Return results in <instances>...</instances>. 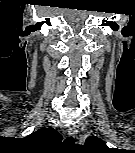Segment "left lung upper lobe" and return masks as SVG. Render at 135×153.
Returning a JSON list of instances; mask_svg holds the SVG:
<instances>
[{
	"mask_svg": "<svg viewBox=\"0 0 135 153\" xmlns=\"http://www.w3.org/2000/svg\"><path fill=\"white\" fill-rule=\"evenodd\" d=\"M85 146L92 148L94 150H107L106 144L96 136H90L86 139Z\"/></svg>",
	"mask_w": 135,
	"mask_h": 153,
	"instance_id": "left-lung-upper-lobe-1",
	"label": "left lung upper lobe"
}]
</instances>
